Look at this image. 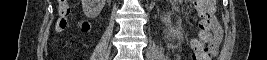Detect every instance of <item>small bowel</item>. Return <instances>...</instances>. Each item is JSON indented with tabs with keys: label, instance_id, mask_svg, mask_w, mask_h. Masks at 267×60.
Segmentation results:
<instances>
[{
	"label": "small bowel",
	"instance_id": "1",
	"mask_svg": "<svg viewBox=\"0 0 267 60\" xmlns=\"http://www.w3.org/2000/svg\"><path fill=\"white\" fill-rule=\"evenodd\" d=\"M85 27V24L83 25ZM90 27L86 28L85 30L88 31ZM222 29L220 24L216 19L213 20L209 29L202 35L205 42L208 43V46L211 50L212 56H215L219 52V48L222 42Z\"/></svg>",
	"mask_w": 267,
	"mask_h": 60
}]
</instances>
